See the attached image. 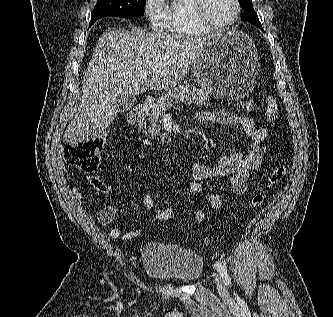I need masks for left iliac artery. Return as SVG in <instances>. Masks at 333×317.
Listing matches in <instances>:
<instances>
[{
  "instance_id": "1",
  "label": "left iliac artery",
  "mask_w": 333,
  "mask_h": 317,
  "mask_svg": "<svg viewBox=\"0 0 333 317\" xmlns=\"http://www.w3.org/2000/svg\"><path fill=\"white\" fill-rule=\"evenodd\" d=\"M215 266H216L218 272L220 273V275L222 276V278L224 279L225 283L228 286H231V278H230L225 266L221 262H216Z\"/></svg>"
}]
</instances>
